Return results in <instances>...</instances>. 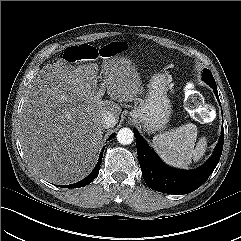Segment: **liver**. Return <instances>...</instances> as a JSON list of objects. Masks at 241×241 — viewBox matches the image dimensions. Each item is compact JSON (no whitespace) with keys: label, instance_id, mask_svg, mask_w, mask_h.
<instances>
[{"label":"liver","instance_id":"obj_1","mask_svg":"<svg viewBox=\"0 0 241 241\" xmlns=\"http://www.w3.org/2000/svg\"><path fill=\"white\" fill-rule=\"evenodd\" d=\"M101 73L110 100L99 96L102 77L95 63L74 67L60 59L31 81L19 135L28 166L41 178L70 184L86 177L98 158L102 115L109 112L118 120L119 103L132 102L143 92L135 65L125 57L108 59Z\"/></svg>","mask_w":241,"mask_h":241}]
</instances>
